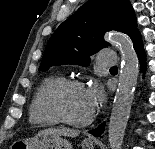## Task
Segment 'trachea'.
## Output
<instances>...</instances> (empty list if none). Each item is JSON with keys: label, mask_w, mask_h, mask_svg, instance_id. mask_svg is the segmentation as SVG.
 I'll list each match as a JSON object with an SVG mask.
<instances>
[{"label": "trachea", "mask_w": 155, "mask_h": 149, "mask_svg": "<svg viewBox=\"0 0 155 149\" xmlns=\"http://www.w3.org/2000/svg\"><path fill=\"white\" fill-rule=\"evenodd\" d=\"M110 69H118V68H117V66H113V67H111Z\"/></svg>", "instance_id": "3493384b"}]
</instances>
